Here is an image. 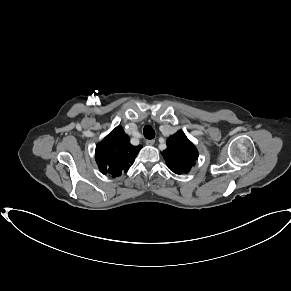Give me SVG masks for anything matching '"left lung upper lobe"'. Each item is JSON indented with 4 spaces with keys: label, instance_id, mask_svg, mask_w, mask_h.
Segmentation results:
<instances>
[{
    "label": "left lung upper lobe",
    "instance_id": "1",
    "mask_svg": "<svg viewBox=\"0 0 291 291\" xmlns=\"http://www.w3.org/2000/svg\"><path fill=\"white\" fill-rule=\"evenodd\" d=\"M167 166L176 174L188 173L195 165L198 151L183 131L167 139V149L162 153Z\"/></svg>",
    "mask_w": 291,
    "mask_h": 291
}]
</instances>
